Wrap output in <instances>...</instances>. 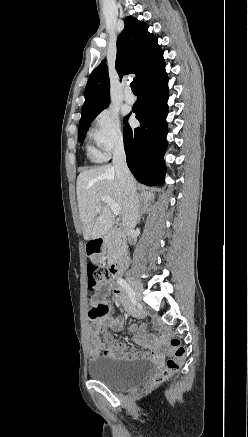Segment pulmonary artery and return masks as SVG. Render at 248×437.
<instances>
[{
  "instance_id": "e3ab8cb5",
  "label": "pulmonary artery",
  "mask_w": 248,
  "mask_h": 437,
  "mask_svg": "<svg viewBox=\"0 0 248 437\" xmlns=\"http://www.w3.org/2000/svg\"><path fill=\"white\" fill-rule=\"evenodd\" d=\"M124 99L129 104H133L135 102V96L129 88L126 89Z\"/></svg>"
}]
</instances>
